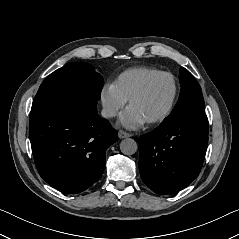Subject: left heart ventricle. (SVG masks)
<instances>
[{
  "label": "left heart ventricle",
  "instance_id": "1",
  "mask_svg": "<svg viewBox=\"0 0 239 239\" xmlns=\"http://www.w3.org/2000/svg\"><path fill=\"white\" fill-rule=\"evenodd\" d=\"M172 90V82L169 78H158L130 107L146 121L160 114L166 108L170 101Z\"/></svg>",
  "mask_w": 239,
  "mask_h": 239
}]
</instances>
